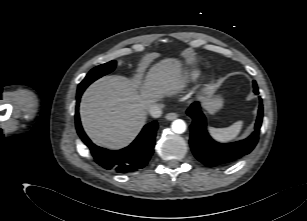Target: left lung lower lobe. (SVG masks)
<instances>
[{"mask_svg": "<svg viewBox=\"0 0 307 221\" xmlns=\"http://www.w3.org/2000/svg\"><path fill=\"white\" fill-rule=\"evenodd\" d=\"M254 92L258 94V87L253 81ZM199 102L193 103L187 114L193 119L190 126V146L194 156L205 166L215 167L229 164L242 156L249 154L256 146L259 138L263 118V105L260 101L255 131L246 139L229 144H220L212 140L206 130V119L200 110Z\"/></svg>", "mask_w": 307, "mask_h": 221, "instance_id": "obj_1", "label": "left lung lower lobe"}]
</instances>
